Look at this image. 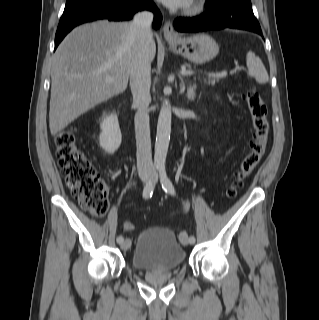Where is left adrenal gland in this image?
Returning a JSON list of instances; mask_svg holds the SVG:
<instances>
[{"mask_svg": "<svg viewBox=\"0 0 319 320\" xmlns=\"http://www.w3.org/2000/svg\"><path fill=\"white\" fill-rule=\"evenodd\" d=\"M181 92L185 91V84L183 82V79H181V85H180ZM195 89L196 85H190L189 88L187 89V97L188 100H193L195 97Z\"/></svg>", "mask_w": 319, "mask_h": 320, "instance_id": "a2214340", "label": "left adrenal gland"}]
</instances>
